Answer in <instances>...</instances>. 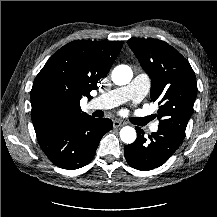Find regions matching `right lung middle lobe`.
<instances>
[{
    "label": "right lung middle lobe",
    "instance_id": "right-lung-middle-lobe-1",
    "mask_svg": "<svg viewBox=\"0 0 217 217\" xmlns=\"http://www.w3.org/2000/svg\"><path fill=\"white\" fill-rule=\"evenodd\" d=\"M39 110L46 119H55L61 112L60 102L54 94L46 93L40 101Z\"/></svg>",
    "mask_w": 217,
    "mask_h": 217
}]
</instances>
